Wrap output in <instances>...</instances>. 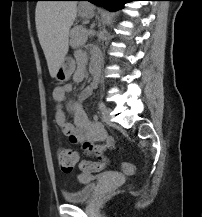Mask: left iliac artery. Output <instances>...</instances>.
<instances>
[{"mask_svg": "<svg viewBox=\"0 0 202 217\" xmlns=\"http://www.w3.org/2000/svg\"><path fill=\"white\" fill-rule=\"evenodd\" d=\"M98 107H99V110L101 112H103L106 109V106H105V104L103 102H99Z\"/></svg>", "mask_w": 202, "mask_h": 217, "instance_id": "obj_1", "label": "left iliac artery"}]
</instances>
